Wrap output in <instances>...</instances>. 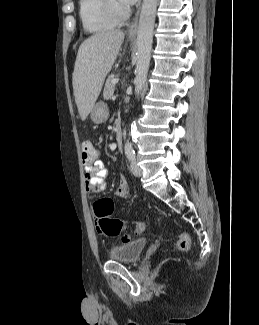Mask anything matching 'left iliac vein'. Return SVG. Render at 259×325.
Masks as SVG:
<instances>
[{"mask_svg": "<svg viewBox=\"0 0 259 325\" xmlns=\"http://www.w3.org/2000/svg\"><path fill=\"white\" fill-rule=\"evenodd\" d=\"M131 172L133 175L140 177L142 175V169L138 166L137 162L135 160H132L130 164Z\"/></svg>", "mask_w": 259, "mask_h": 325, "instance_id": "4c4485c4", "label": "left iliac vein"}]
</instances>
